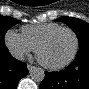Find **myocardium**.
<instances>
[{"label":"myocardium","instance_id":"obj_1","mask_svg":"<svg viewBox=\"0 0 89 89\" xmlns=\"http://www.w3.org/2000/svg\"><path fill=\"white\" fill-rule=\"evenodd\" d=\"M60 31L70 32L74 37L75 46H74L72 54L65 61L58 63V64H49L42 59L41 51H42V48L50 41V39ZM78 50H79V37H78L77 33L70 27L61 26V27L49 32L41 39V41L39 42V44L36 47V57L42 66H44L48 69H51V70H59V69L67 67L69 64H71L74 61L75 57L77 56Z\"/></svg>","mask_w":89,"mask_h":89}]
</instances>
